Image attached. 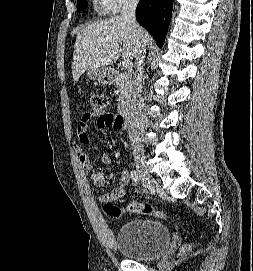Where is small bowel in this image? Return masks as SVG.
I'll list each match as a JSON object with an SVG mask.
<instances>
[{
    "label": "small bowel",
    "mask_w": 253,
    "mask_h": 271,
    "mask_svg": "<svg viewBox=\"0 0 253 271\" xmlns=\"http://www.w3.org/2000/svg\"><path fill=\"white\" fill-rule=\"evenodd\" d=\"M95 115L93 113H84L79 121L77 126V136L79 137L82 143L89 144L92 142V139L88 135V130L90 126V121ZM97 125L99 128H119L114 119L112 114L104 113L99 115L97 119ZM77 157L86 171L92 170V163L90 161L89 156L82 150V148L78 145H74ZM102 162L109 164L110 159L107 156L102 157ZM131 175L127 170H122L120 175L119 186L113 189L110 192L104 193L99 197V200L104 204L105 212L113 217L119 218L125 214H127V209L122 207H117L112 203L120 198H122L125 194V188L129 183ZM91 180L97 187H103L106 184V175L103 171H96L91 174ZM107 205H112V207H107Z\"/></svg>",
    "instance_id": "c3829d8e"
}]
</instances>
